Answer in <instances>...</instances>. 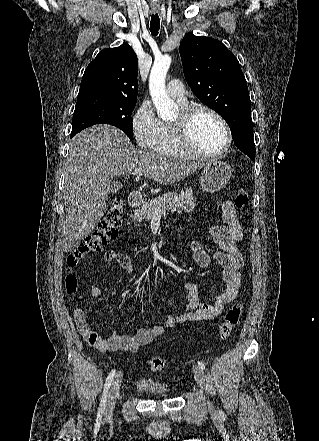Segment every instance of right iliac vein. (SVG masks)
Listing matches in <instances>:
<instances>
[{
    "label": "right iliac vein",
    "mask_w": 319,
    "mask_h": 441,
    "mask_svg": "<svg viewBox=\"0 0 319 441\" xmlns=\"http://www.w3.org/2000/svg\"><path fill=\"white\" fill-rule=\"evenodd\" d=\"M121 382H122V373L120 372L119 374L116 375L108 395V399L105 407L106 415H111L114 410L116 399L119 394Z\"/></svg>",
    "instance_id": "63e3f726"
}]
</instances>
